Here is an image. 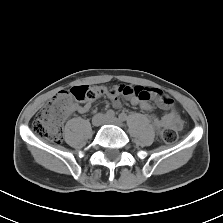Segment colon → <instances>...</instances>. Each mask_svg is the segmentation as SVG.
Listing matches in <instances>:
<instances>
[{
    "mask_svg": "<svg viewBox=\"0 0 223 223\" xmlns=\"http://www.w3.org/2000/svg\"><path fill=\"white\" fill-rule=\"evenodd\" d=\"M126 92L133 94L140 101L150 98V90L140 86L132 89L120 86L108 88H92L90 86H76L69 91L56 94L34 117L32 131L39 137L59 144L62 139V122L75 103L91 101L105 93ZM163 140L172 144L178 139V133L173 127H166L162 132Z\"/></svg>",
    "mask_w": 223,
    "mask_h": 223,
    "instance_id": "1",
    "label": "colon"
}]
</instances>
